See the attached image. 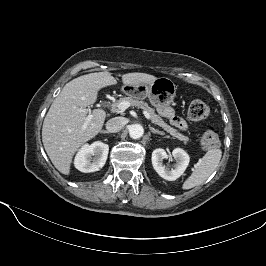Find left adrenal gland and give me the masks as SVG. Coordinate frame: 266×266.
Here are the masks:
<instances>
[{"instance_id": "obj_1", "label": "left adrenal gland", "mask_w": 266, "mask_h": 266, "mask_svg": "<svg viewBox=\"0 0 266 266\" xmlns=\"http://www.w3.org/2000/svg\"><path fill=\"white\" fill-rule=\"evenodd\" d=\"M149 129L151 130L152 133L154 134H160V135H164V132L156 130L155 128H153L152 126L149 125Z\"/></svg>"}]
</instances>
